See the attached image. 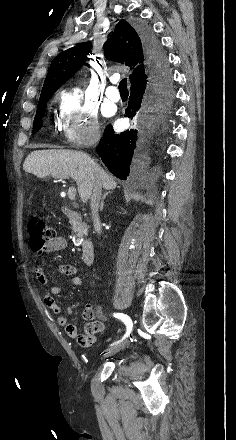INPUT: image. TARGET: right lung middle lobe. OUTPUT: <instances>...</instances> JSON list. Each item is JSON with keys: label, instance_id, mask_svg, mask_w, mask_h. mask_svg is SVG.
Wrapping results in <instances>:
<instances>
[{"label": "right lung middle lobe", "instance_id": "right-lung-middle-lobe-1", "mask_svg": "<svg viewBox=\"0 0 236 440\" xmlns=\"http://www.w3.org/2000/svg\"><path fill=\"white\" fill-rule=\"evenodd\" d=\"M53 93V92H52ZM48 94L45 97L39 99L36 116L33 124V133L37 132L42 127L41 118L44 116V109L47 104V100L50 98ZM172 86L171 83H166L161 88L157 89L153 95L156 104H166L172 99Z\"/></svg>", "mask_w": 236, "mask_h": 440}]
</instances>
